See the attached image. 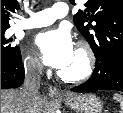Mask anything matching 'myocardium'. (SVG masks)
<instances>
[{
	"mask_svg": "<svg viewBox=\"0 0 123 113\" xmlns=\"http://www.w3.org/2000/svg\"><path fill=\"white\" fill-rule=\"evenodd\" d=\"M76 53L82 58L83 66L80 71L73 74L64 73L62 70L58 71V76L63 81L81 82L87 80L94 72L95 55L92 48L86 42H80Z\"/></svg>",
	"mask_w": 123,
	"mask_h": 113,
	"instance_id": "myocardium-1",
	"label": "myocardium"
}]
</instances>
